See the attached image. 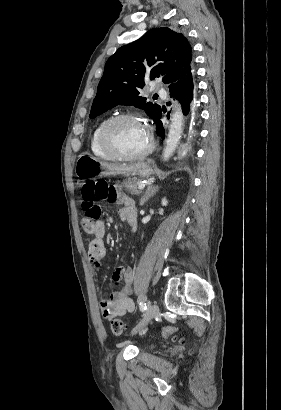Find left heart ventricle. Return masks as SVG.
Instances as JSON below:
<instances>
[{
	"label": "left heart ventricle",
	"instance_id": "1",
	"mask_svg": "<svg viewBox=\"0 0 281 410\" xmlns=\"http://www.w3.org/2000/svg\"><path fill=\"white\" fill-rule=\"evenodd\" d=\"M112 144L121 152L134 154L144 150L149 144L145 127L135 121H121L111 132Z\"/></svg>",
	"mask_w": 281,
	"mask_h": 410
}]
</instances>
